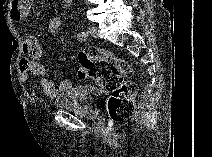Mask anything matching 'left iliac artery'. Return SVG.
Instances as JSON below:
<instances>
[{"instance_id":"44dca946","label":"left iliac artery","mask_w":212,"mask_h":157,"mask_svg":"<svg viewBox=\"0 0 212 157\" xmlns=\"http://www.w3.org/2000/svg\"><path fill=\"white\" fill-rule=\"evenodd\" d=\"M87 36H88V33L85 31H82V32L78 33L77 38L79 41H85Z\"/></svg>"}]
</instances>
